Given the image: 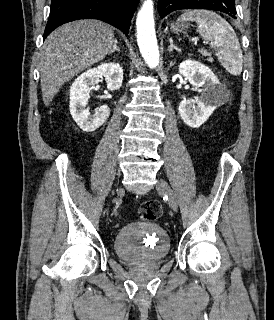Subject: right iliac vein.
Segmentation results:
<instances>
[{"mask_svg": "<svg viewBox=\"0 0 274 320\" xmlns=\"http://www.w3.org/2000/svg\"><path fill=\"white\" fill-rule=\"evenodd\" d=\"M122 192H123V189H122V188L117 189V193H118V194H121Z\"/></svg>", "mask_w": 274, "mask_h": 320, "instance_id": "obj_1", "label": "right iliac vein"}]
</instances>
